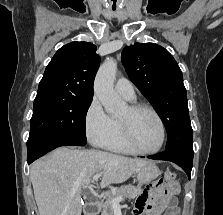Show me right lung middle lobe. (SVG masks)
I'll list each match as a JSON object with an SVG mask.
<instances>
[{"mask_svg":"<svg viewBox=\"0 0 223 215\" xmlns=\"http://www.w3.org/2000/svg\"><path fill=\"white\" fill-rule=\"evenodd\" d=\"M92 100L36 96L27 148L67 139L86 141V114Z\"/></svg>","mask_w":223,"mask_h":215,"instance_id":"dd1d6c3e","label":"right lung middle lobe"}]
</instances>
